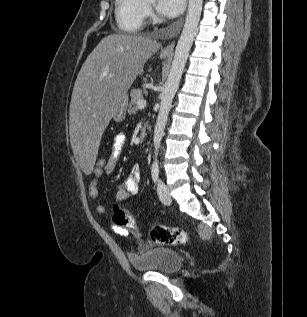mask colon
I'll list each match as a JSON object with an SVG mask.
<instances>
[{
	"mask_svg": "<svg viewBox=\"0 0 307 317\" xmlns=\"http://www.w3.org/2000/svg\"><path fill=\"white\" fill-rule=\"evenodd\" d=\"M107 161L108 158L98 155L95 162V169L104 168ZM112 220L116 226L131 230L135 234L138 233L137 224L133 216L118 205L114 206ZM150 239L154 244L167 246L185 245L189 242V236L183 229L165 225L153 226L150 230Z\"/></svg>",
	"mask_w": 307,
	"mask_h": 317,
	"instance_id": "obj_1",
	"label": "colon"
}]
</instances>
